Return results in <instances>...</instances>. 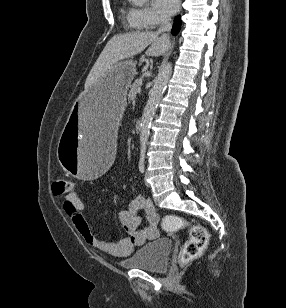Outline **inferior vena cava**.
Here are the masks:
<instances>
[{"label": "inferior vena cava", "mask_w": 286, "mask_h": 308, "mask_svg": "<svg viewBox=\"0 0 286 308\" xmlns=\"http://www.w3.org/2000/svg\"><path fill=\"white\" fill-rule=\"evenodd\" d=\"M171 29H172V24L170 23L169 19L164 18L161 21V26L158 30V33H163L164 36H167L166 32L171 31Z\"/></svg>", "instance_id": "1"}]
</instances>
